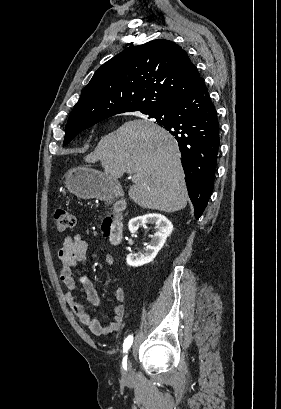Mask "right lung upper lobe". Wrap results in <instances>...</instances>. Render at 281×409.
Here are the masks:
<instances>
[{
	"label": "right lung upper lobe",
	"instance_id": "right-lung-upper-lobe-1",
	"mask_svg": "<svg viewBox=\"0 0 281 409\" xmlns=\"http://www.w3.org/2000/svg\"><path fill=\"white\" fill-rule=\"evenodd\" d=\"M201 80L187 53L172 41L131 46L95 72L66 128L92 125L124 112L158 110L188 94Z\"/></svg>",
	"mask_w": 281,
	"mask_h": 409
}]
</instances>
